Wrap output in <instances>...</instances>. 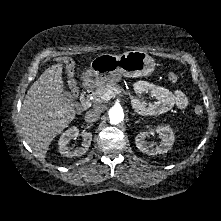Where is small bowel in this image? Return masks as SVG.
<instances>
[{
    "label": "small bowel",
    "instance_id": "c3829d8e",
    "mask_svg": "<svg viewBox=\"0 0 221 221\" xmlns=\"http://www.w3.org/2000/svg\"><path fill=\"white\" fill-rule=\"evenodd\" d=\"M134 91L138 96L149 93L153 97L154 102L152 104H145L138 98L135 99V107L145 113L162 114L173 107L185 109L189 104L188 97L181 90H170L144 80H139L134 84Z\"/></svg>",
    "mask_w": 221,
    "mask_h": 221
}]
</instances>
